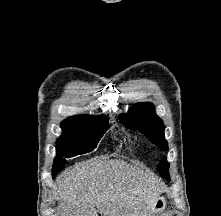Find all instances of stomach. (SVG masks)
Wrapping results in <instances>:
<instances>
[{
	"label": "stomach",
	"instance_id": "0dacf381",
	"mask_svg": "<svg viewBox=\"0 0 221 216\" xmlns=\"http://www.w3.org/2000/svg\"><path fill=\"white\" fill-rule=\"evenodd\" d=\"M166 207V201L164 197H157L151 208V216L161 213Z\"/></svg>",
	"mask_w": 221,
	"mask_h": 216
}]
</instances>
